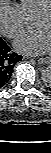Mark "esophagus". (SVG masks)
<instances>
[{
  "label": "esophagus",
  "instance_id": "34e87169",
  "mask_svg": "<svg viewBox=\"0 0 51 153\" xmlns=\"http://www.w3.org/2000/svg\"><path fill=\"white\" fill-rule=\"evenodd\" d=\"M39 64H50L51 63V58L50 57H41L38 60Z\"/></svg>",
  "mask_w": 51,
  "mask_h": 153
}]
</instances>
